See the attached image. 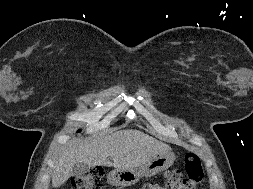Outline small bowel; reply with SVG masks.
Returning a JSON list of instances; mask_svg holds the SVG:
<instances>
[{"label":"small bowel","mask_w":253,"mask_h":189,"mask_svg":"<svg viewBox=\"0 0 253 189\" xmlns=\"http://www.w3.org/2000/svg\"><path fill=\"white\" fill-rule=\"evenodd\" d=\"M143 189H166V188L158 184H153V185H145Z\"/></svg>","instance_id":"c3829d8e"}]
</instances>
